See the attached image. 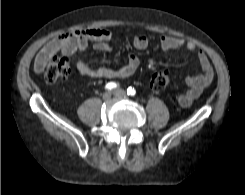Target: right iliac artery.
Masks as SVG:
<instances>
[{
	"mask_svg": "<svg viewBox=\"0 0 245 195\" xmlns=\"http://www.w3.org/2000/svg\"><path fill=\"white\" fill-rule=\"evenodd\" d=\"M118 87V84L115 83V82H109L108 84H106L105 88L108 89V90H111V89H115Z\"/></svg>",
	"mask_w": 245,
	"mask_h": 195,
	"instance_id": "82829eb1",
	"label": "right iliac artery"
}]
</instances>
